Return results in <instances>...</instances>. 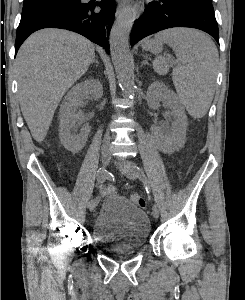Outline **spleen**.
<instances>
[{
  "mask_svg": "<svg viewBox=\"0 0 245 300\" xmlns=\"http://www.w3.org/2000/svg\"><path fill=\"white\" fill-rule=\"evenodd\" d=\"M155 39L167 43L176 54L178 62L173 68V82L181 103L192 117H203L213 99L219 60L216 46L205 34L185 28L161 31ZM153 69L164 75L169 63L164 57H157Z\"/></svg>",
  "mask_w": 245,
  "mask_h": 300,
  "instance_id": "obj_1",
  "label": "spleen"
}]
</instances>
